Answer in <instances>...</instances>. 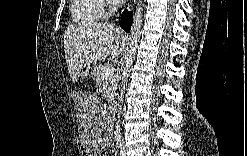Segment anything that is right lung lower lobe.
<instances>
[{
    "label": "right lung lower lobe",
    "mask_w": 247,
    "mask_h": 156,
    "mask_svg": "<svg viewBox=\"0 0 247 156\" xmlns=\"http://www.w3.org/2000/svg\"><path fill=\"white\" fill-rule=\"evenodd\" d=\"M132 13L131 12H128L127 10H125L123 13H122V16H121V20H120V26L127 32H130V27H131V24H132Z\"/></svg>",
    "instance_id": "right-lung-lower-lobe-1"
}]
</instances>
